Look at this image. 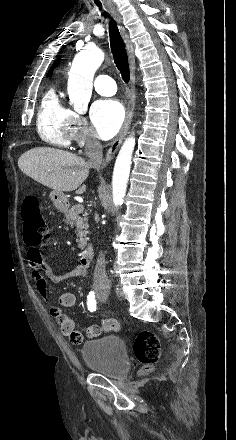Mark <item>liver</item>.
<instances>
[{
    "instance_id": "liver-1",
    "label": "liver",
    "mask_w": 236,
    "mask_h": 440,
    "mask_svg": "<svg viewBox=\"0 0 236 440\" xmlns=\"http://www.w3.org/2000/svg\"><path fill=\"white\" fill-rule=\"evenodd\" d=\"M20 170L48 188L82 194V183L89 175L90 166L83 158L68 151L51 147H36L18 159Z\"/></svg>"
}]
</instances>
